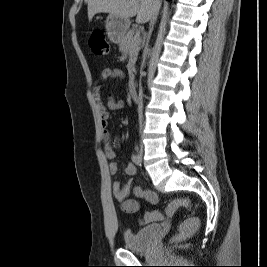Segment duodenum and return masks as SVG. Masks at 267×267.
<instances>
[{"mask_svg":"<svg viewBox=\"0 0 267 267\" xmlns=\"http://www.w3.org/2000/svg\"><path fill=\"white\" fill-rule=\"evenodd\" d=\"M129 92H130V95H131V97L133 99H137L138 93H137V89H136L134 78H132L131 81H130Z\"/></svg>","mask_w":267,"mask_h":267,"instance_id":"410a0bca","label":"duodenum"}]
</instances>
